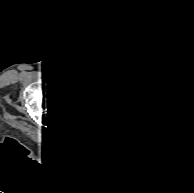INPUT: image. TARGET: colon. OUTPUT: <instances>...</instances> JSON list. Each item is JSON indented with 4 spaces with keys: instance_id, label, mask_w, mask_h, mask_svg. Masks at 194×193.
<instances>
[{
    "instance_id": "colon-1",
    "label": "colon",
    "mask_w": 194,
    "mask_h": 193,
    "mask_svg": "<svg viewBox=\"0 0 194 193\" xmlns=\"http://www.w3.org/2000/svg\"><path fill=\"white\" fill-rule=\"evenodd\" d=\"M78 123H80L79 120ZM120 140H121L120 132L107 130L95 137H92L89 140V146L92 150L95 151L102 150L116 145L117 143H119Z\"/></svg>"
}]
</instances>
